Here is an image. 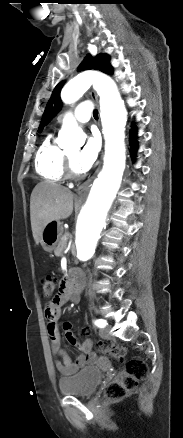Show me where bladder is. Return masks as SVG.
<instances>
[{
    "mask_svg": "<svg viewBox=\"0 0 183 438\" xmlns=\"http://www.w3.org/2000/svg\"><path fill=\"white\" fill-rule=\"evenodd\" d=\"M103 379L102 372L96 367H86L73 376L59 380V391L63 395L89 397L97 390Z\"/></svg>",
    "mask_w": 183,
    "mask_h": 438,
    "instance_id": "obj_1",
    "label": "bladder"
}]
</instances>
